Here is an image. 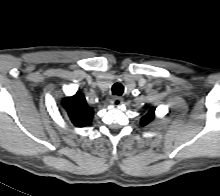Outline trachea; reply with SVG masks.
Masks as SVG:
<instances>
[{
    "instance_id": "1",
    "label": "trachea",
    "mask_w": 220,
    "mask_h": 196,
    "mask_svg": "<svg viewBox=\"0 0 220 196\" xmlns=\"http://www.w3.org/2000/svg\"><path fill=\"white\" fill-rule=\"evenodd\" d=\"M112 92L114 95L121 96L124 92V86L121 83H115L112 86Z\"/></svg>"
}]
</instances>
